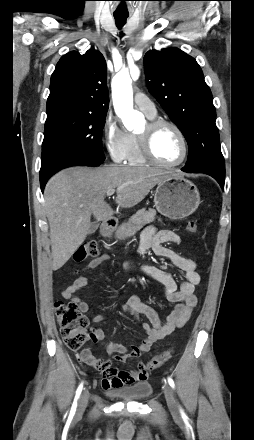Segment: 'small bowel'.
<instances>
[{
	"mask_svg": "<svg viewBox=\"0 0 254 440\" xmlns=\"http://www.w3.org/2000/svg\"><path fill=\"white\" fill-rule=\"evenodd\" d=\"M180 237L171 231H157L156 228L147 227L142 235L138 247V254L144 255L151 250L156 256L168 259L175 267L184 272V278L177 282L169 273H166L153 266H142L141 271L157 281L163 289V293L168 301L175 304L173 311L162 322L157 313L148 305L141 302L138 296H130L122 305V309L135 316L143 315L148 321L141 322V327L145 332V338L139 345L132 346L130 349L117 344L109 343L107 352L113 356L117 362H124L128 358H138L149 351L154 342L171 334L174 330L182 328L191 317L193 308L197 303L196 287L201 281V276L197 272V264L194 260L181 256L175 251L164 246L165 243L179 244ZM107 259L102 255L93 259L84 270L94 269ZM126 271H132L134 265L132 262L125 263ZM88 284V279L84 276L75 278L71 284L62 292V296L75 304L80 312H88L89 305L82 300L77 292ZM92 322L101 323L106 320L102 314L94 315ZM105 338V332L100 327H94L91 330V339L93 341ZM80 359L87 365L98 369L101 373V383L106 389L120 387L123 385L144 382L147 380V370L142 362H139L137 368L132 371H125L113 366L110 360H102L92 355L89 349L80 352Z\"/></svg>",
	"mask_w": 254,
	"mask_h": 440,
	"instance_id": "c3829d8e",
	"label": "small bowel"
}]
</instances>
